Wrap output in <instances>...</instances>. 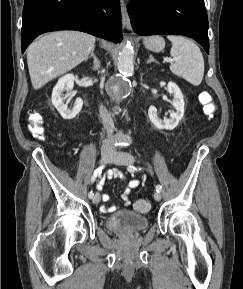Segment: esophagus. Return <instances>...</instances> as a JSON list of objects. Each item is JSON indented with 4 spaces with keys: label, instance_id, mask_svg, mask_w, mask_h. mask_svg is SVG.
<instances>
[{
    "label": "esophagus",
    "instance_id": "34e87169",
    "mask_svg": "<svg viewBox=\"0 0 243 289\" xmlns=\"http://www.w3.org/2000/svg\"><path fill=\"white\" fill-rule=\"evenodd\" d=\"M120 6H121L123 26H124L126 29L131 30L130 18H129V15H128V12H127L126 3H125L124 0H120Z\"/></svg>",
    "mask_w": 243,
    "mask_h": 289
}]
</instances>
